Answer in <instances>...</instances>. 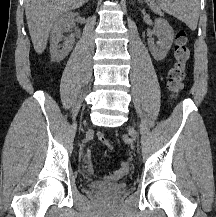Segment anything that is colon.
Segmentation results:
<instances>
[{
  "label": "colon",
  "mask_w": 216,
  "mask_h": 217,
  "mask_svg": "<svg viewBox=\"0 0 216 217\" xmlns=\"http://www.w3.org/2000/svg\"><path fill=\"white\" fill-rule=\"evenodd\" d=\"M175 64L169 71L168 89L172 97H177L183 89L184 81L187 76V62L190 57V50L188 45V37L185 30L180 29L175 36L174 46ZM98 141L105 148L111 147V142L105 133H98ZM124 168L119 170L122 173Z\"/></svg>",
  "instance_id": "colon-1"
}]
</instances>
